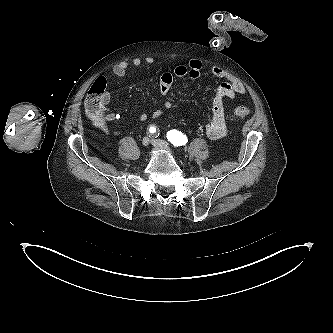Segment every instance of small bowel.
Instances as JSON below:
<instances>
[{
  "instance_id": "small-bowel-1",
  "label": "small bowel",
  "mask_w": 333,
  "mask_h": 333,
  "mask_svg": "<svg viewBox=\"0 0 333 333\" xmlns=\"http://www.w3.org/2000/svg\"><path fill=\"white\" fill-rule=\"evenodd\" d=\"M155 62L154 58L146 57L145 59L134 58L131 64L134 67H140L143 63L151 65ZM129 68V63L127 61H122L116 64L112 68V73L116 77H124ZM202 69V63L197 59H191L187 65L177 66L173 74L165 73L161 76L160 80V90L164 96H167L172 87L173 76L176 77H189L191 79H197L200 76ZM211 73L214 77L220 79L222 82L219 85L216 94L212 101L211 115L208 122L205 125V133L210 139H220L227 134V125L225 121L224 114V102L226 99H233L238 94L245 93L244 85L231 73L220 67H213ZM110 101V92L106 91L105 103L108 104ZM164 109L169 110L172 108V103L166 100L163 104ZM162 114L161 110H157L153 113L155 118ZM119 118V115L113 112H108L103 115L99 120L94 121V124L104 129L106 124L109 122H114ZM140 122H145L148 119V114L143 112L139 116Z\"/></svg>"
}]
</instances>
